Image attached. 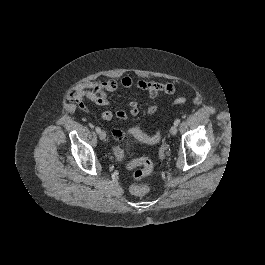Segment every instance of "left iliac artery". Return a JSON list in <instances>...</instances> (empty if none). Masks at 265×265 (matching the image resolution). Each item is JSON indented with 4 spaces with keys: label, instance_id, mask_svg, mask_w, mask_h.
Masks as SVG:
<instances>
[{
    "label": "left iliac artery",
    "instance_id": "44dca946",
    "mask_svg": "<svg viewBox=\"0 0 265 265\" xmlns=\"http://www.w3.org/2000/svg\"><path fill=\"white\" fill-rule=\"evenodd\" d=\"M180 119L179 118H177L175 121H174V125H176V126H178L179 124H180Z\"/></svg>",
    "mask_w": 265,
    "mask_h": 265
}]
</instances>
